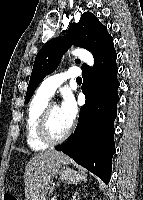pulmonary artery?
<instances>
[{
    "label": "pulmonary artery",
    "instance_id": "e3ab8cb5",
    "mask_svg": "<svg viewBox=\"0 0 143 200\" xmlns=\"http://www.w3.org/2000/svg\"><path fill=\"white\" fill-rule=\"evenodd\" d=\"M80 69L77 67L69 68L68 70L49 76L39 86V91L51 97L55 90L63 84L66 79H76L80 77Z\"/></svg>",
    "mask_w": 143,
    "mask_h": 200
}]
</instances>
